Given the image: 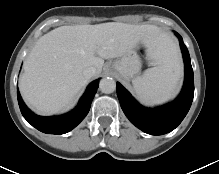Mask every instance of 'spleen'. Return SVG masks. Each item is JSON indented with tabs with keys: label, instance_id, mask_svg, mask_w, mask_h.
Masks as SVG:
<instances>
[{
	"label": "spleen",
	"instance_id": "obj_1",
	"mask_svg": "<svg viewBox=\"0 0 219 174\" xmlns=\"http://www.w3.org/2000/svg\"><path fill=\"white\" fill-rule=\"evenodd\" d=\"M175 55H176V49ZM157 66L144 71L132 80L134 90L148 105H159L173 98L179 91L182 72L169 51Z\"/></svg>",
	"mask_w": 219,
	"mask_h": 174
}]
</instances>
